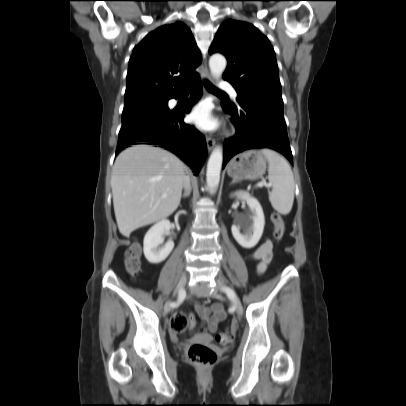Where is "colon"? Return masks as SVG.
Returning a JSON list of instances; mask_svg holds the SVG:
<instances>
[{
    "label": "colon",
    "instance_id": "colon-1",
    "mask_svg": "<svg viewBox=\"0 0 406 406\" xmlns=\"http://www.w3.org/2000/svg\"><path fill=\"white\" fill-rule=\"evenodd\" d=\"M272 223L274 224V237L276 240H281L284 235V222L282 215L278 212H273L271 215ZM141 248L138 244H132L125 253V266L131 275L137 274L141 270ZM194 317L190 313L175 312L170 319V328L173 332H183L193 326ZM216 340L221 345H226L231 342L232 337L226 332L219 333ZM188 359L195 365L208 367L215 363L216 352L214 349L203 343H193L187 351Z\"/></svg>",
    "mask_w": 406,
    "mask_h": 406
}]
</instances>
